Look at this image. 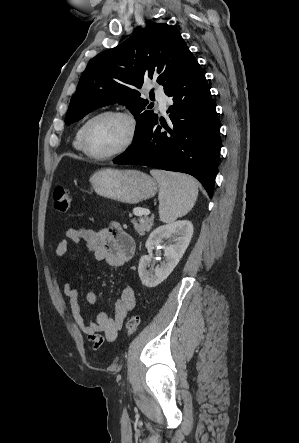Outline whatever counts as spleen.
<instances>
[{
  "label": "spleen",
  "instance_id": "spleen-1",
  "mask_svg": "<svg viewBox=\"0 0 299 443\" xmlns=\"http://www.w3.org/2000/svg\"><path fill=\"white\" fill-rule=\"evenodd\" d=\"M159 184V215L164 223H172L186 215L198 196L196 181L184 174L151 170Z\"/></svg>",
  "mask_w": 299,
  "mask_h": 443
}]
</instances>
